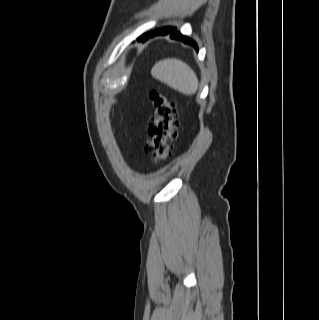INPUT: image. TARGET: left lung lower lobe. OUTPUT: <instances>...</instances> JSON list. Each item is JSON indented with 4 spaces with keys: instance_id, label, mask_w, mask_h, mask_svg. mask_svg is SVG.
Here are the masks:
<instances>
[{
    "instance_id": "1",
    "label": "left lung lower lobe",
    "mask_w": 319,
    "mask_h": 320,
    "mask_svg": "<svg viewBox=\"0 0 319 320\" xmlns=\"http://www.w3.org/2000/svg\"><path fill=\"white\" fill-rule=\"evenodd\" d=\"M169 33L171 34L170 37L172 39L181 40L182 42L189 44V45L193 46L196 50H198L197 44L192 39H190L186 36H183L180 32H177L175 28H171V27L158 29V30H155L154 32H148V33L140 36L138 38V40L144 41L145 39H147L149 37H153L156 35H167Z\"/></svg>"
}]
</instances>
